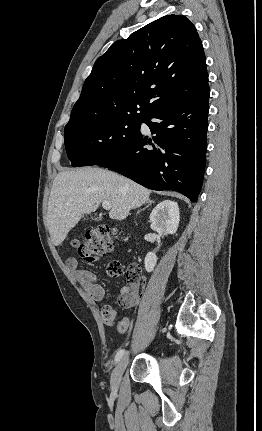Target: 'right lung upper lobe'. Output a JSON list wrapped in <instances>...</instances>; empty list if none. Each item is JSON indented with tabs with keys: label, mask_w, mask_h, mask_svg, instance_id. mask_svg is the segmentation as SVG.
<instances>
[{
	"label": "right lung upper lobe",
	"mask_w": 262,
	"mask_h": 431,
	"mask_svg": "<svg viewBox=\"0 0 262 431\" xmlns=\"http://www.w3.org/2000/svg\"><path fill=\"white\" fill-rule=\"evenodd\" d=\"M206 85V58L194 25L182 15H167L114 42L96 60L66 126L147 118Z\"/></svg>",
	"instance_id": "obj_1"
}]
</instances>
